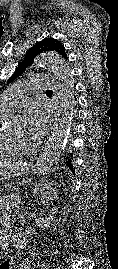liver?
I'll return each instance as SVG.
<instances>
[{
    "label": "liver",
    "instance_id": "obj_1",
    "mask_svg": "<svg viewBox=\"0 0 118 269\" xmlns=\"http://www.w3.org/2000/svg\"><path fill=\"white\" fill-rule=\"evenodd\" d=\"M22 162V161H19ZM16 163L15 161H4V162H0V167L1 168H6L9 167L11 164Z\"/></svg>",
    "mask_w": 118,
    "mask_h": 269
}]
</instances>
